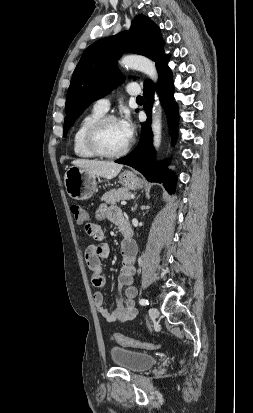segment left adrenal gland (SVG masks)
<instances>
[{
  "label": "left adrenal gland",
  "instance_id": "obj_1",
  "mask_svg": "<svg viewBox=\"0 0 253 413\" xmlns=\"http://www.w3.org/2000/svg\"><path fill=\"white\" fill-rule=\"evenodd\" d=\"M137 209V203H135V206L132 208V210H136Z\"/></svg>",
  "mask_w": 253,
  "mask_h": 413
}]
</instances>
